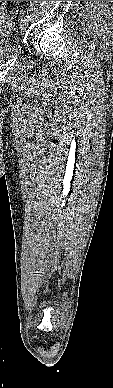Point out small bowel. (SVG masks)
<instances>
[{"mask_svg": "<svg viewBox=\"0 0 113 388\" xmlns=\"http://www.w3.org/2000/svg\"><path fill=\"white\" fill-rule=\"evenodd\" d=\"M4 16H5V11H4L3 1H0V20L4 19Z\"/></svg>", "mask_w": 113, "mask_h": 388, "instance_id": "small-bowel-1", "label": "small bowel"}]
</instances>
